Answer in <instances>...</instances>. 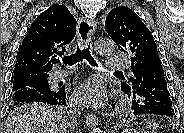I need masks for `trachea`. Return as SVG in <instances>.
Instances as JSON below:
<instances>
[{
  "label": "trachea",
  "instance_id": "obj_1",
  "mask_svg": "<svg viewBox=\"0 0 184 133\" xmlns=\"http://www.w3.org/2000/svg\"><path fill=\"white\" fill-rule=\"evenodd\" d=\"M84 59H86L90 65L94 67H98V64L90 54V43L87 46L85 45L77 46L76 53L71 56L63 57L62 62L64 64H68L69 66H72L76 63L83 61ZM116 72H120V71H116Z\"/></svg>",
  "mask_w": 184,
  "mask_h": 133
}]
</instances>
